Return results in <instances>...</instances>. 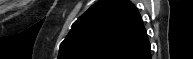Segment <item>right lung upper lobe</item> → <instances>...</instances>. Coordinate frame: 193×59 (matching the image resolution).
Instances as JSON below:
<instances>
[{
    "label": "right lung upper lobe",
    "mask_w": 193,
    "mask_h": 59,
    "mask_svg": "<svg viewBox=\"0 0 193 59\" xmlns=\"http://www.w3.org/2000/svg\"><path fill=\"white\" fill-rule=\"evenodd\" d=\"M148 43L134 4L100 0L74 22L58 59H127Z\"/></svg>",
    "instance_id": "right-lung-upper-lobe-1"
}]
</instances>
